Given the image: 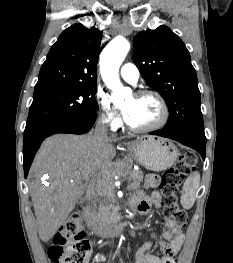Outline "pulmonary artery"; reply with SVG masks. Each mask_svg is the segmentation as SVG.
Returning a JSON list of instances; mask_svg holds the SVG:
<instances>
[{
    "label": "pulmonary artery",
    "mask_w": 233,
    "mask_h": 263,
    "mask_svg": "<svg viewBox=\"0 0 233 263\" xmlns=\"http://www.w3.org/2000/svg\"><path fill=\"white\" fill-rule=\"evenodd\" d=\"M120 74L125 81L131 84H136L139 79V70L132 63H126L122 65L120 69Z\"/></svg>",
    "instance_id": "e3ab8cb5"
}]
</instances>
